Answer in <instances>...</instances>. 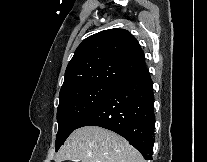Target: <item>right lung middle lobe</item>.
<instances>
[{
    "mask_svg": "<svg viewBox=\"0 0 207 162\" xmlns=\"http://www.w3.org/2000/svg\"><path fill=\"white\" fill-rule=\"evenodd\" d=\"M115 85L94 84L59 95L56 151L81 121L112 91Z\"/></svg>",
    "mask_w": 207,
    "mask_h": 162,
    "instance_id": "right-lung-middle-lobe-1",
    "label": "right lung middle lobe"
}]
</instances>
